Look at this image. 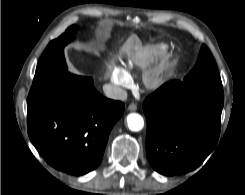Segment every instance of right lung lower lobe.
<instances>
[{
    "label": "right lung lower lobe",
    "instance_id": "obj_1",
    "mask_svg": "<svg viewBox=\"0 0 245 195\" xmlns=\"http://www.w3.org/2000/svg\"><path fill=\"white\" fill-rule=\"evenodd\" d=\"M123 111L124 104L103 97L92 78L65 73L31 87L28 134L49 165L80 176L101 163Z\"/></svg>",
    "mask_w": 245,
    "mask_h": 195
}]
</instances>
